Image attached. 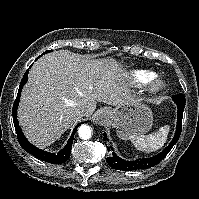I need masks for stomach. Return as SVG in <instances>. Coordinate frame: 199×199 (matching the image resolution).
Instances as JSON below:
<instances>
[{"label":"stomach","mask_w":199,"mask_h":199,"mask_svg":"<svg viewBox=\"0 0 199 199\" xmlns=\"http://www.w3.org/2000/svg\"><path fill=\"white\" fill-rule=\"evenodd\" d=\"M109 120L117 128V135L124 140L148 132L153 124L151 109L141 98L129 97L124 102L109 108Z\"/></svg>","instance_id":"stomach-1"}]
</instances>
